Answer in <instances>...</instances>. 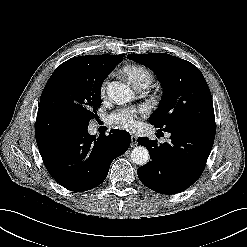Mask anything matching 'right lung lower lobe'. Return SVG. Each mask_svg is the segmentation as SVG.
Masks as SVG:
<instances>
[{"label":"right lung lower lobe","mask_w":247,"mask_h":247,"mask_svg":"<svg viewBox=\"0 0 247 247\" xmlns=\"http://www.w3.org/2000/svg\"><path fill=\"white\" fill-rule=\"evenodd\" d=\"M88 127L38 112L35 136L49 174L64 188L87 191L107 177L112 161L130 146L128 132L113 129L108 136L96 138Z\"/></svg>","instance_id":"98d812e1"}]
</instances>
